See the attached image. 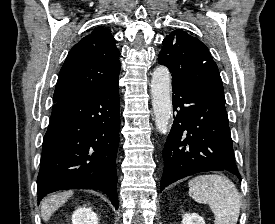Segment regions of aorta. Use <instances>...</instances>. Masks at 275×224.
Instances as JSON below:
<instances>
[{"mask_svg": "<svg viewBox=\"0 0 275 224\" xmlns=\"http://www.w3.org/2000/svg\"><path fill=\"white\" fill-rule=\"evenodd\" d=\"M151 95L156 127L166 134L170 131L172 98L171 75L164 66L157 67L152 74Z\"/></svg>", "mask_w": 275, "mask_h": 224, "instance_id": "obj_1", "label": "aorta"}]
</instances>
